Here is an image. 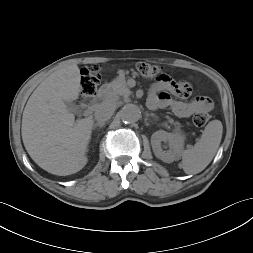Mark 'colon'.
Returning a JSON list of instances; mask_svg holds the SVG:
<instances>
[{"instance_id":"1","label":"colon","mask_w":253,"mask_h":253,"mask_svg":"<svg viewBox=\"0 0 253 253\" xmlns=\"http://www.w3.org/2000/svg\"><path fill=\"white\" fill-rule=\"evenodd\" d=\"M137 72L147 78L161 79L165 76L163 69L159 66L149 63L140 62L136 65ZM100 70L98 67L84 68L81 71V95L85 100H90L96 95L100 82ZM210 119L207 111L196 113L193 117V124L197 127H203Z\"/></svg>"}]
</instances>
